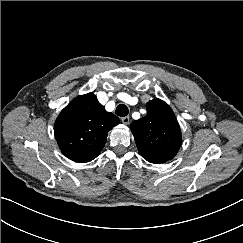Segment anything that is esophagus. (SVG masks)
I'll return each mask as SVG.
<instances>
[{"instance_id":"esophagus-1","label":"esophagus","mask_w":243,"mask_h":243,"mask_svg":"<svg viewBox=\"0 0 243 243\" xmlns=\"http://www.w3.org/2000/svg\"><path fill=\"white\" fill-rule=\"evenodd\" d=\"M121 120H122V123L125 125H128L130 122V118L128 116L122 117Z\"/></svg>"}]
</instances>
